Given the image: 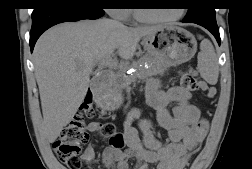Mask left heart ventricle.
Wrapping results in <instances>:
<instances>
[{
  "instance_id": "left-heart-ventricle-1",
  "label": "left heart ventricle",
  "mask_w": 252,
  "mask_h": 169,
  "mask_svg": "<svg viewBox=\"0 0 252 169\" xmlns=\"http://www.w3.org/2000/svg\"><path fill=\"white\" fill-rule=\"evenodd\" d=\"M139 12L144 17L158 18L167 17L175 14L173 10H149V9H139Z\"/></svg>"
}]
</instances>
